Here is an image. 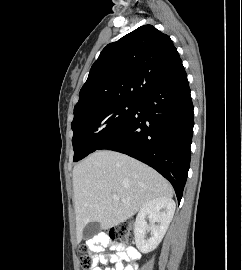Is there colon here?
<instances>
[{
	"instance_id": "5ec220e1",
	"label": "colon",
	"mask_w": 242,
	"mask_h": 270,
	"mask_svg": "<svg viewBox=\"0 0 242 270\" xmlns=\"http://www.w3.org/2000/svg\"><path fill=\"white\" fill-rule=\"evenodd\" d=\"M103 235L110 240L132 241L134 238V223L133 221L121 222L115 228L103 233ZM89 250L87 246L81 248L82 255L80 256V265L84 270H90L92 266Z\"/></svg>"
}]
</instances>
